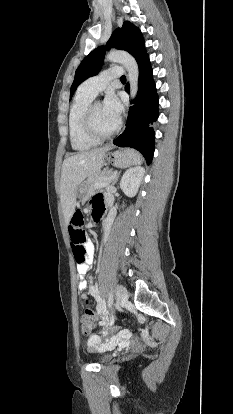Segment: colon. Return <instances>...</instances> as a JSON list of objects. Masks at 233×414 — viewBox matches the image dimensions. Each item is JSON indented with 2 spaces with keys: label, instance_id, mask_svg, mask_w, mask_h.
Wrapping results in <instances>:
<instances>
[{
  "label": "colon",
  "instance_id": "1",
  "mask_svg": "<svg viewBox=\"0 0 233 414\" xmlns=\"http://www.w3.org/2000/svg\"><path fill=\"white\" fill-rule=\"evenodd\" d=\"M83 215L80 211H77L70 222L69 233L71 246L73 250L76 262L81 264L86 260V248L87 236L82 229ZM84 313L81 318L82 332L89 334L97 326V317L92 309V305L87 298L82 301Z\"/></svg>",
  "mask_w": 233,
  "mask_h": 414
}]
</instances>
